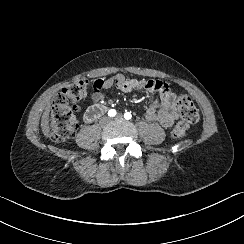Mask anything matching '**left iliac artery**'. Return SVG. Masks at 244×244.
<instances>
[{"label": "left iliac artery", "mask_w": 244, "mask_h": 244, "mask_svg": "<svg viewBox=\"0 0 244 244\" xmlns=\"http://www.w3.org/2000/svg\"><path fill=\"white\" fill-rule=\"evenodd\" d=\"M131 117H132V115H131V113H129V112H126V113L124 114V118H125L126 120L131 119Z\"/></svg>", "instance_id": "44dca946"}]
</instances>
